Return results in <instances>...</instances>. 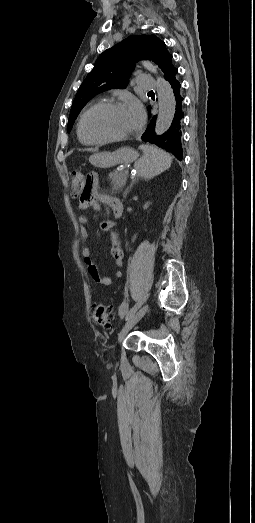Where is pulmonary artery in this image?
Instances as JSON below:
<instances>
[{"label":"pulmonary artery","instance_id":"e3ab8cb5","mask_svg":"<svg viewBox=\"0 0 255 523\" xmlns=\"http://www.w3.org/2000/svg\"><path fill=\"white\" fill-rule=\"evenodd\" d=\"M139 81L138 89L140 91L150 92L153 90L154 86L157 84V81L150 77L149 74L143 73L137 77Z\"/></svg>","mask_w":255,"mask_h":523}]
</instances>
